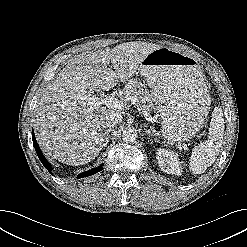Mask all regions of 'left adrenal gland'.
Returning <instances> with one entry per match:
<instances>
[{
	"mask_svg": "<svg viewBox=\"0 0 247 247\" xmlns=\"http://www.w3.org/2000/svg\"><path fill=\"white\" fill-rule=\"evenodd\" d=\"M144 132H145V134H147V135H149V136H152V133H151L150 130H145Z\"/></svg>",
	"mask_w": 247,
	"mask_h": 247,
	"instance_id": "left-adrenal-gland-1",
	"label": "left adrenal gland"
}]
</instances>
